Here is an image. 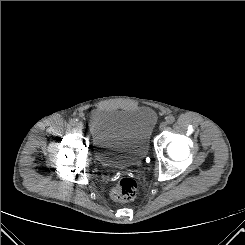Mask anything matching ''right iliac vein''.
<instances>
[{
    "label": "right iliac vein",
    "mask_w": 245,
    "mask_h": 245,
    "mask_svg": "<svg viewBox=\"0 0 245 245\" xmlns=\"http://www.w3.org/2000/svg\"><path fill=\"white\" fill-rule=\"evenodd\" d=\"M76 128H77L78 130L81 131V130L84 128L83 123H82V122H78V123L76 124Z\"/></svg>",
    "instance_id": "63e3f726"
}]
</instances>
